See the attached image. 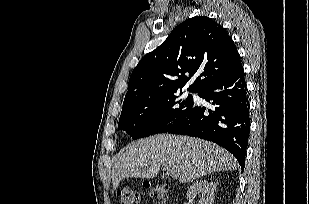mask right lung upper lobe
Masks as SVG:
<instances>
[{
	"label": "right lung upper lobe",
	"mask_w": 309,
	"mask_h": 204,
	"mask_svg": "<svg viewBox=\"0 0 309 204\" xmlns=\"http://www.w3.org/2000/svg\"><path fill=\"white\" fill-rule=\"evenodd\" d=\"M240 66L226 30L208 17H192L141 59L130 76L124 102L178 92L195 74L199 76L188 90L199 93Z\"/></svg>",
	"instance_id": "right-lung-upper-lobe-1"
}]
</instances>
